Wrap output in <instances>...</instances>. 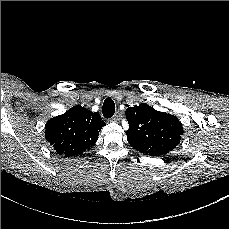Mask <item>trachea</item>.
I'll list each match as a JSON object with an SVG mask.
<instances>
[{
  "mask_svg": "<svg viewBox=\"0 0 229 229\" xmlns=\"http://www.w3.org/2000/svg\"><path fill=\"white\" fill-rule=\"evenodd\" d=\"M102 113L105 118H111L115 113V104L112 98L108 97L103 103Z\"/></svg>",
  "mask_w": 229,
  "mask_h": 229,
  "instance_id": "obj_1",
  "label": "trachea"
}]
</instances>
